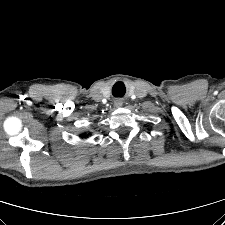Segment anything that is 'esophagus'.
I'll return each instance as SVG.
<instances>
[{"mask_svg":"<svg viewBox=\"0 0 225 225\" xmlns=\"http://www.w3.org/2000/svg\"><path fill=\"white\" fill-rule=\"evenodd\" d=\"M115 105H116V106H121V105H122V102H121V101H117V102L115 103Z\"/></svg>","mask_w":225,"mask_h":225,"instance_id":"obj_1","label":"esophagus"}]
</instances>
